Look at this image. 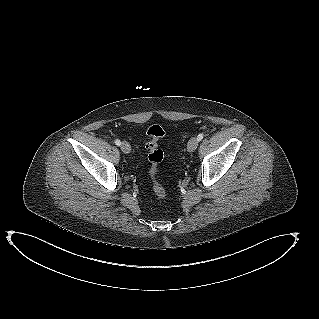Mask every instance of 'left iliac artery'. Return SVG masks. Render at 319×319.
Returning a JSON list of instances; mask_svg holds the SVG:
<instances>
[{
	"label": "left iliac artery",
	"instance_id": "left-iliac-artery-1",
	"mask_svg": "<svg viewBox=\"0 0 319 319\" xmlns=\"http://www.w3.org/2000/svg\"><path fill=\"white\" fill-rule=\"evenodd\" d=\"M204 137V134L203 133H200L198 136H197V139L198 141H201Z\"/></svg>",
	"mask_w": 319,
	"mask_h": 319
}]
</instances>
